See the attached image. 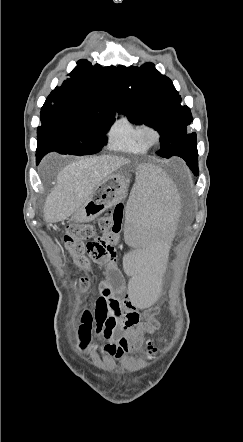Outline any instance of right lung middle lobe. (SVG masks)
<instances>
[{"mask_svg": "<svg viewBox=\"0 0 243 442\" xmlns=\"http://www.w3.org/2000/svg\"><path fill=\"white\" fill-rule=\"evenodd\" d=\"M37 128L36 156L51 151L61 154L89 155L106 144V131L114 120L108 114H85L45 101Z\"/></svg>", "mask_w": 243, "mask_h": 442, "instance_id": "dd1d6c3e", "label": "right lung middle lobe"}]
</instances>
